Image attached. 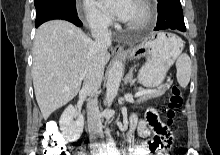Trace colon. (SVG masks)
<instances>
[{"instance_id":"obj_1","label":"colon","mask_w":220,"mask_h":155,"mask_svg":"<svg viewBox=\"0 0 220 155\" xmlns=\"http://www.w3.org/2000/svg\"><path fill=\"white\" fill-rule=\"evenodd\" d=\"M183 105V94L181 88L173 85L167 105L168 124H172L176 118L178 110ZM155 135L148 141V148L157 155H169L168 150L173 145V135L168 126L155 124ZM45 142L41 143V148H45L44 155H66V144L62 143L60 137L55 132H49L45 136Z\"/></svg>"}]
</instances>
